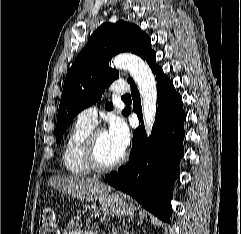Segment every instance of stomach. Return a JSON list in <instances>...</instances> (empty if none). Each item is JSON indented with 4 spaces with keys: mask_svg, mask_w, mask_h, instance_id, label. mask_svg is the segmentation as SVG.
Segmentation results:
<instances>
[{
    "mask_svg": "<svg viewBox=\"0 0 241 234\" xmlns=\"http://www.w3.org/2000/svg\"><path fill=\"white\" fill-rule=\"evenodd\" d=\"M100 210L110 215H132L133 204L123 200L116 194H106L99 199ZM64 234H84L81 228L80 218H71L64 229Z\"/></svg>",
    "mask_w": 241,
    "mask_h": 234,
    "instance_id": "stomach-1",
    "label": "stomach"
}]
</instances>
